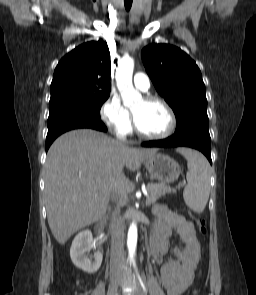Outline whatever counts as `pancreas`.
I'll list each match as a JSON object with an SVG mask.
<instances>
[{"instance_id": "1", "label": "pancreas", "mask_w": 256, "mask_h": 295, "mask_svg": "<svg viewBox=\"0 0 256 295\" xmlns=\"http://www.w3.org/2000/svg\"><path fill=\"white\" fill-rule=\"evenodd\" d=\"M147 190L150 196V204L155 203L161 196H165L169 193H175V189L163 183H151L147 186Z\"/></svg>"}]
</instances>
